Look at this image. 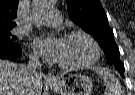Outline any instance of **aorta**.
Here are the masks:
<instances>
[{"label":"aorta","mask_w":135,"mask_h":95,"mask_svg":"<svg viewBox=\"0 0 135 95\" xmlns=\"http://www.w3.org/2000/svg\"><path fill=\"white\" fill-rule=\"evenodd\" d=\"M53 6V0H34V10L43 13Z\"/></svg>","instance_id":"aorta-1"}]
</instances>
